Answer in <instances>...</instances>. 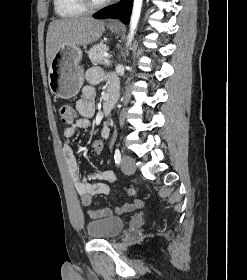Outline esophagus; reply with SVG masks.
<instances>
[{
    "instance_id": "obj_1",
    "label": "esophagus",
    "mask_w": 247,
    "mask_h": 280,
    "mask_svg": "<svg viewBox=\"0 0 247 280\" xmlns=\"http://www.w3.org/2000/svg\"><path fill=\"white\" fill-rule=\"evenodd\" d=\"M109 23H110V24H115V23H117V22H116V20H111Z\"/></svg>"
}]
</instances>
